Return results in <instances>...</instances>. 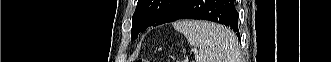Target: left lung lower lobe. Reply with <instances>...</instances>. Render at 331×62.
<instances>
[{"mask_svg": "<svg viewBox=\"0 0 331 62\" xmlns=\"http://www.w3.org/2000/svg\"><path fill=\"white\" fill-rule=\"evenodd\" d=\"M184 18L210 20L224 24L240 38L238 12L234 0H184L165 23ZM149 26L147 23L140 24L136 29L135 38L139 32L145 31Z\"/></svg>", "mask_w": 331, "mask_h": 62, "instance_id": "obj_1", "label": "left lung lower lobe"}]
</instances>
